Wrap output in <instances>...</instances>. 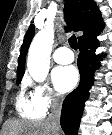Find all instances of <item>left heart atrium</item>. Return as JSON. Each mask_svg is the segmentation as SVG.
I'll return each instance as SVG.
<instances>
[{
  "label": "left heart atrium",
  "mask_w": 112,
  "mask_h": 135,
  "mask_svg": "<svg viewBox=\"0 0 112 135\" xmlns=\"http://www.w3.org/2000/svg\"><path fill=\"white\" fill-rule=\"evenodd\" d=\"M51 79L57 92L64 94L76 86L78 72L74 66H57L51 73Z\"/></svg>",
  "instance_id": "1"
}]
</instances>
